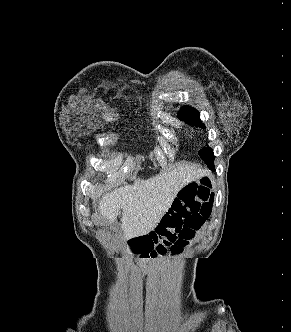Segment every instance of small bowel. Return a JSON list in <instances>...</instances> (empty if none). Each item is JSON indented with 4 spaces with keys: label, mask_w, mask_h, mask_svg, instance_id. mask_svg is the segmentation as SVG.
Segmentation results:
<instances>
[{
    "label": "small bowel",
    "mask_w": 291,
    "mask_h": 332,
    "mask_svg": "<svg viewBox=\"0 0 291 332\" xmlns=\"http://www.w3.org/2000/svg\"><path fill=\"white\" fill-rule=\"evenodd\" d=\"M197 187L198 186L195 183L190 182V183L185 184L182 187L181 191H183V190H190V189H194V188H197Z\"/></svg>",
    "instance_id": "c3829d8e"
}]
</instances>
